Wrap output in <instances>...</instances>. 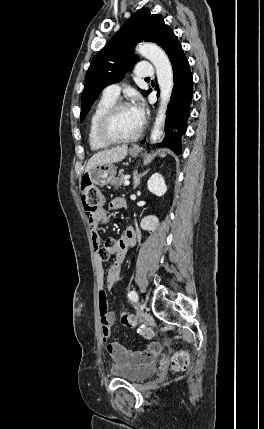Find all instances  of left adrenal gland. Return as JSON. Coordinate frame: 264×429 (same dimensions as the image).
Here are the masks:
<instances>
[{
  "label": "left adrenal gland",
  "instance_id": "left-adrenal-gland-1",
  "mask_svg": "<svg viewBox=\"0 0 264 429\" xmlns=\"http://www.w3.org/2000/svg\"><path fill=\"white\" fill-rule=\"evenodd\" d=\"M147 173V171H145V172H143L142 174H138V172L137 171H135L134 172V176H133V185H134V189L135 188H137V186L139 185V183H140V178L142 177V176H144L145 174Z\"/></svg>",
  "mask_w": 264,
  "mask_h": 429
}]
</instances>
